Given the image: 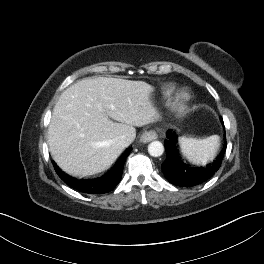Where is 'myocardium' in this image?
I'll return each mask as SVG.
<instances>
[{"mask_svg": "<svg viewBox=\"0 0 264 264\" xmlns=\"http://www.w3.org/2000/svg\"><path fill=\"white\" fill-rule=\"evenodd\" d=\"M188 94L185 92H181L176 96V104H177V108L178 111L181 113L184 111L186 104L188 102Z\"/></svg>", "mask_w": 264, "mask_h": 264, "instance_id": "1", "label": "myocardium"}]
</instances>
